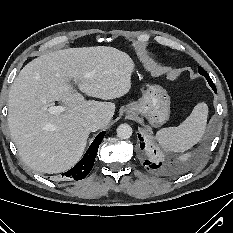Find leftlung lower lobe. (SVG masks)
I'll return each instance as SVG.
<instances>
[{
    "label": "left lung lower lobe",
    "mask_w": 233,
    "mask_h": 233,
    "mask_svg": "<svg viewBox=\"0 0 233 233\" xmlns=\"http://www.w3.org/2000/svg\"><path fill=\"white\" fill-rule=\"evenodd\" d=\"M201 75H203L207 79V81H208L209 85L211 86V88L214 90V92H216V87H215L214 83L212 82L211 78L209 77V75L207 73H203ZM138 136H139V140L142 141L140 143V147L143 150L145 148V144L143 143V138L141 137L140 134H138ZM154 153L156 154V150L154 151ZM144 165L148 169L161 170V165L162 164L161 163H155L153 161V159H150V160H145Z\"/></svg>",
    "instance_id": "1"
}]
</instances>
